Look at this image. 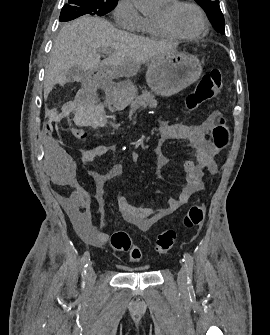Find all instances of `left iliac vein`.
I'll return each instance as SVG.
<instances>
[{"label":"left iliac vein","instance_id":"obj_1","mask_svg":"<svg viewBox=\"0 0 270 335\" xmlns=\"http://www.w3.org/2000/svg\"><path fill=\"white\" fill-rule=\"evenodd\" d=\"M178 284L180 286H185L187 282V267L185 264H182L177 277Z\"/></svg>","mask_w":270,"mask_h":335}]
</instances>
